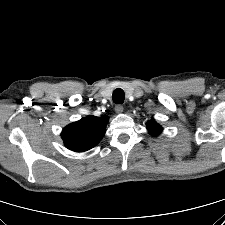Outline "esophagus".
Wrapping results in <instances>:
<instances>
[{
	"instance_id": "esophagus-1",
	"label": "esophagus",
	"mask_w": 225,
	"mask_h": 225,
	"mask_svg": "<svg viewBox=\"0 0 225 225\" xmlns=\"http://www.w3.org/2000/svg\"><path fill=\"white\" fill-rule=\"evenodd\" d=\"M123 110H124V108H123L122 105L118 104V105L115 106V111H116L118 114L122 113Z\"/></svg>"
}]
</instances>
